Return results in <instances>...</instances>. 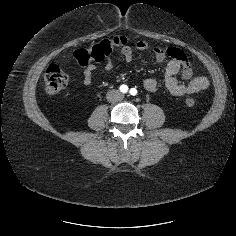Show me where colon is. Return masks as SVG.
I'll return each instance as SVG.
<instances>
[{
    "instance_id": "obj_1",
    "label": "colon",
    "mask_w": 236,
    "mask_h": 236,
    "mask_svg": "<svg viewBox=\"0 0 236 236\" xmlns=\"http://www.w3.org/2000/svg\"><path fill=\"white\" fill-rule=\"evenodd\" d=\"M127 44V38L123 36H115L109 39H104L89 48H80L71 51L68 55L79 65L86 66L91 61L101 62L105 60L114 50L123 48ZM67 82L68 76L60 66L56 64L48 66L44 75V86L48 93L55 94L60 92L65 88ZM186 104L188 106H193L194 100L188 98L186 99Z\"/></svg>"
}]
</instances>
